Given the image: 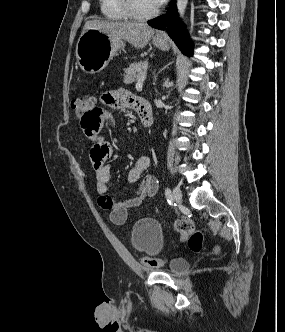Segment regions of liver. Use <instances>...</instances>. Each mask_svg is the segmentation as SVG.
<instances>
[{"mask_svg":"<svg viewBox=\"0 0 285 332\" xmlns=\"http://www.w3.org/2000/svg\"><path fill=\"white\" fill-rule=\"evenodd\" d=\"M88 29H96L109 36L125 40L137 49L144 48L154 34V29L144 23L137 22H111L93 19L85 23L82 33Z\"/></svg>","mask_w":285,"mask_h":332,"instance_id":"obj_1","label":"liver"}]
</instances>
